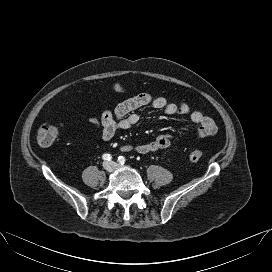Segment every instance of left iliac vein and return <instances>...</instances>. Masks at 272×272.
<instances>
[{
  "mask_svg": "<svg viewBox=\"0 0 272 272\" xmlns=\"http://www.w3.org/2000/svg\"><path fill=\"white\" fill-rule=\"evenodd\" d=\"M111 164L113 165V167H114L115 169H118V168L122 167L121 165H119V164H117V163H115V162H111Z\"/></svg>",
  "mask_w": 272,
  "mask_h": 272,
  "instance_id": "4c4485c4",
  "label": "left iliac vein"
}]
</instances>
